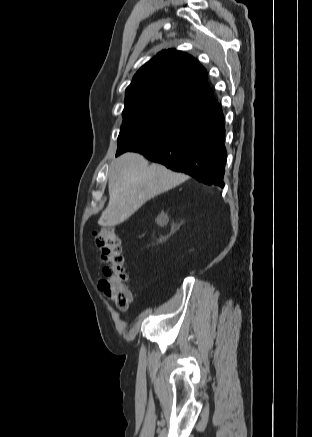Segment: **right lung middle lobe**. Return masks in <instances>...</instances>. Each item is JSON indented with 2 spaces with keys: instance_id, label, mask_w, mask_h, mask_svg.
Returning <instances> with one entry per match:
<instances>
[{
  "instance_id": "obj_1",
  "label": "right lung middle lobe",
  "mask_w": 312,
  "mask_h": 437,
  "mask_svg": "<svg viewBox=\"0 0 312 437\" xmlns=\"http://www.w3.org/2000/svg\"><path fill=\"white\" fill-rule=\"evenodd\" d=\"M197 115L196 112L161 103L124 108L116 156L174 135Z\"/></svg>"
}]
</instances>
